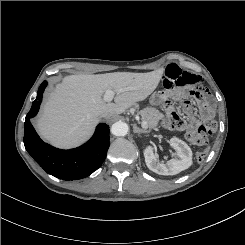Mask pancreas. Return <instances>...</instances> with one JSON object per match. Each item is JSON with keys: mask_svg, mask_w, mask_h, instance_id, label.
<instances>
[{"mask_svg": "<svg viewBox=\"0 0 245 245\" xmlns=\"http://www.w3.org/2000/svg\"><path fill=\"white\" fill-rule=\"evenodd\" d=\"M139 114L141 115L142 121L147 123L149 129L156 128L159 120L163 118V114L153 107L144 108Z\"/></svg>", "mask_w": 245, "mask_h": 245, "instance_id": "1", "label": "pancreas"}]
</instances>
